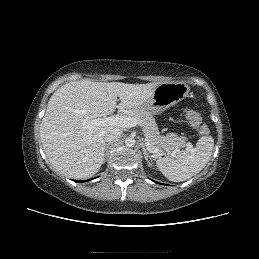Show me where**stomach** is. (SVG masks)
<instances>
[{"label":"stomach","instance_id":"stomach-1","mask_svg":"<svg viewBox=\"0 0 259 259\" xmlns=\"http://www.w3.org/2000/svg\"><path fill=\"white\" fill-rule=\"evenodd\" d=\"M189 91L190 87L184 82L161 83L139 109L150 114H159L184 100L189 95Z\"/></svg>","mask_w":259,"mask_h":259}]
</instances>
